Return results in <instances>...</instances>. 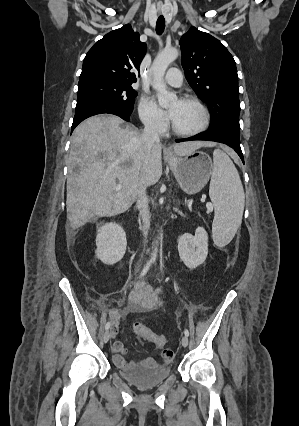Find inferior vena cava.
Listing matches in <instances>:
<instances>
[{"instance_id":"1","label":"inferior vena cava","mask_w":299,"mask_h":426,"mask_svg":"<svg viewBox=\"0 0 299 426\" xmlns=\"http://www.w3.org/2000/svg\"><path fill=\"white\" fill-rule=\"evenodd\" d=\"M144 131H143V139L145 141V144L147 147H151L154 144L160 143V138L158 134V127L157 124L154 121H145L144 122ZM148 161L145 160L144 164V170H147ZM147 185L145 183H142L139 191H138V197H137V203L136 207L139 210V216L142 219L143 223V235L146 237L148 235V230L150 227V210H149V200L148 196L146 194Z\"/></svg>"}]
</instances>
